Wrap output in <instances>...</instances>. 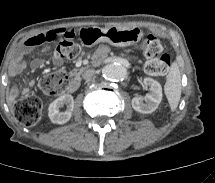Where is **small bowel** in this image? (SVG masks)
I'll use <instances>...</instances> for the list:
<instances>
[{
    "label": "small bowel",
    "instance_id": "1",
    "mask_svg": "<svg viewBox=\"0 0 215 183\" xmlns=\"http://www.w3.org/2000/svg\"><path fill=\"white\" fill-rule=\"evenodd\" d=\"M69 29L63 28V29H54V30H47L44 31L40 34H37L35 36L30 37L27 41H26V46L29 49H37L39 47H41L44 44L50 43L52 42L58 35L63 34L65 32H69ZM39 42L40 46L37 47L35 45V43ZM53 63L55 65H59L61 63V60L58 58H54L53 59ZM45 64V61L43 59H36L33 62V66L34 67H42ZM27 63L25 61V59L19 55L17 56L15 62L13 63V65L10 67L9 69V74L11 76H16L21 74L25 69H26ZM31 86V84H30ZM29 87H25L22 89V93H27L30 89ZM18 95V90L13 89L10 91L9 97L11 100L15 99L16 96Z\"/></svg>",
    "mask_w": 215,
    "mask_h": 183
}]
</instances>
